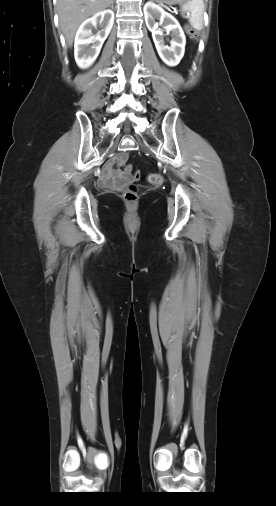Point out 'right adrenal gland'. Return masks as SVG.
I'll return each instance as SVG.
<instances>
[{
	"mask_svg": "<svg viewBox=\"0 0 276 506\" xmlns=\"http://www.w3.org/2000/svg\"><path fill=\"white\" fill-rule=\"evenodd\" d=\"M111 8L113 9V3L111 4Z\"/></svg>",
	"mask_w": 276,
	"mask_h": 506,
	"instance_id": "2a0ac1e0",
	"label": "right adrenal gland"
}]
</instances>
